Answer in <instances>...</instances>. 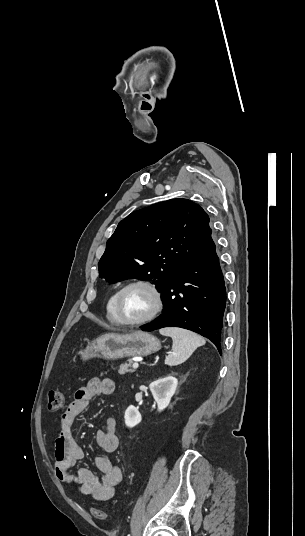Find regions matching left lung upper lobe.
<instances>
[{"instance_id":"obj_1","label":"left lung upper lobe","mask_w":305,"mask_h":536,"mask_svg":"<svg viewBox=\"0 0 305 536\" xmlns=\"http://www.w3.org/2000/svg\"><path fill=\"white\" fill-rule=\"evenodd\" d=\"M207 213L188 199L132 212L108 239L98 268L110 283L152 280L163 290L211 239Z\"/></svg>"}]
</instances>
